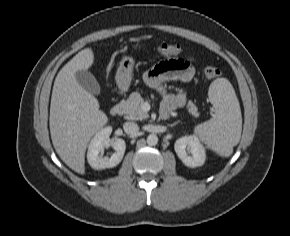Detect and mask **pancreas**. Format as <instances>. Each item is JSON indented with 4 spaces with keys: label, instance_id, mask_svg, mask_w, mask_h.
<instances>
[{
    "label": "pancreas",
    "instance_id": "pancreas-1",
    "mask_svg": "<svg viewBox=\"0 0 290 236\" xmlns=\"http://www.w3.org/2000/svg\"><path fill=\"white\" fill-rule=\"evenodd\" d=\"M144 99L139 92H132L129 98L124 103V117L128 120H143L149 117L147 112H144L141 108ZM187 110L194 117H198L199 113L196 105L189 101L187 104Z\"/></svg>",
    "mask_w": 290,
    "mask_h": 236
}]
</instances>
